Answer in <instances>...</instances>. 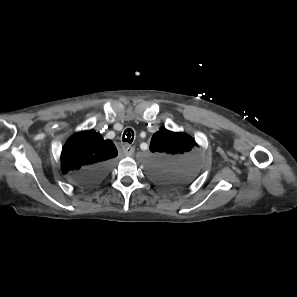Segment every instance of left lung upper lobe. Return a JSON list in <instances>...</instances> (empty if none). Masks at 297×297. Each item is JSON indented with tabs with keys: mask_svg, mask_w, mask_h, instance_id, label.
Masks as SVG:
<instances>
[{
	"mask_svg": "<svg viewBox=\"0 0 297 297\" xmlns=\"http://www.w3.org/2000/svg\"><path fill=\"white\" fill-rule=\"evenodd\" d=\"M197 143L187 134L167 129L156 132L151 139L148 172L159 184L173 187L189 183L199 172Z\"/></svg>",
	"mask_w": 297,
	"mask_h": 297,
	"instance_id": "left-lung-upper-lobe-1",
	"label": "left lung upper lobe"
}]
</instances>
